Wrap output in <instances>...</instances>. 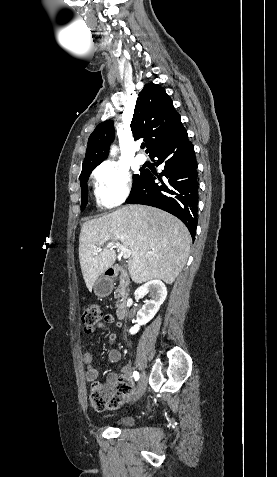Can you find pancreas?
<instances>
[{
	"instance_id": "pancreas-1",
	"label": "pancreas",
	"mask_w": 277,
	"mask_h": 477,
	"mask_svg": "<svg viewBox=\"0 0 277 477\" xmlns=\"http://www.w3.org/2000/svg\"><path fill=\"white\" fill-rule=\"evenodd\" d=\"M121 291H122V289H121V288L117 289V292H119V293H120ZM117 296H119V295H117Z\"/></svg>"
}]
</instances>
